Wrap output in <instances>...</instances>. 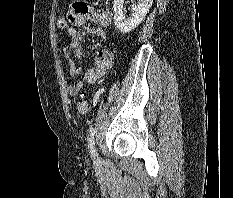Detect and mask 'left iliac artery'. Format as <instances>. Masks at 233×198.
Returning a JSON list of instances; mask_svg holds the SVG:
<instances>
[{"label": "left iliac artery", "instance_id": "44dca946", "mask_svg": "<svg viewBox=\"0 0 233 198\" xmlns=\"http://www.w3.org/2000/svg\"><path fill=\"white\" fill-rule=\"evenodd\" d=\"M102 91H103V89H101V91H99V93L102 92ZM95 132H96L95 128L91 127L90 130H89V134H88L89 148H90V152H91L92 155L95 154V149H94Z\"/></svg>", "mask_w": 233, "mask_h": 198}]
</instances>
